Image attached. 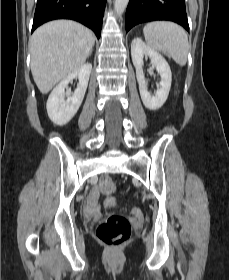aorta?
<instances>
[{
    "label": "aorta",
    "mask_w": 229,
    "mask_h": 280,
    "mask_svg": "<svg viewBox=\"0 0 229 280\" xmlns=\"http://www.w3.org/2000/svg\"><path fill=\"white\" fill-rule=\"evenodd\" d=\"M129 0H115L114 9L118 16L122 15L125 11Z\"/></svg>",
    "instance_id": "aorta-1"
}]
</instances>
